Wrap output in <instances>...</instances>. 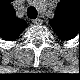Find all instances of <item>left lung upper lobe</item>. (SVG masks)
<instances>
[{
	"mask_svg": "<svg viewBox=\"0 0 80 80\" xmlns=\"http://www.w3.org/2000/svg\"><path fill=\"white\" fill-rule=\"evenodd\" d=\"M51 25L61 39L69 40L76 36V19L66 2H60Z\"/></svg>",
	"mask_w": 80,
	"mask_h": 80,
	"instance_id": "obj_1",
	"label": "left lung upper lobe"
}]
</instances>
